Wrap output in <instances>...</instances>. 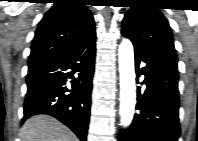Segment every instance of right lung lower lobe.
<instances>
[{
    "label": "right lung lower lobe",
    "instance_id": "1",
    "mask_svg": "<svg viewBox=\"0 0 198 141\" xmlns=\"http://www.w3.org/2000/svg\"><path fill=\"white\" fill-rule=\"evenodd\" d=\"M95 39L93 33L72 49L28 66L23 121L48 114L67 125L81 141L86 140ZM67 79H71V89L65 86Z\"/></svg>",
    "mask_w": 198,
    "mask_h": 141
}]
</instances>
